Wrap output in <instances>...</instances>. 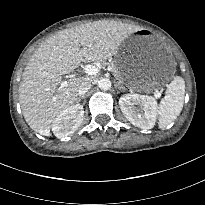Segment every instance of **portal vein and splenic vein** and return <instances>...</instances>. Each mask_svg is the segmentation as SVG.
Segmentation results:
<instances>
[{"label": "portal vein and splenic vein", "instance_id": "18ae733b", "mask_svg": "<svg viewBox=\"0 0 205 205\" xmlns=\"http://www.w3.org/2000/svg\"><path fill=\"white\" fill-rule=\"evenodd\" d=\"M99 69L93 65H86L84 67V72L87 74V75H96L98 73ZM154 95L156 97H160V93L159 92H155Z\"/></svg>", "mask_w": 205, "mask_h": 205}]
</instances>
